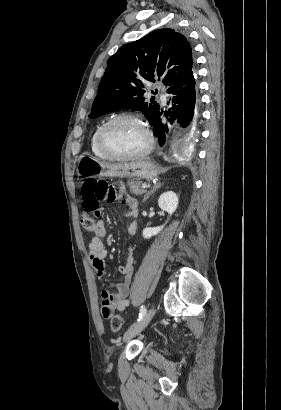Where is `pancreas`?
<instances>
[{
  "instance_id": "obj_1",
  "label": "pancreas",
  "mask_w": 281,
  "mask_h": 410,
  "mask_svg": "<svg viewBox=\"0 0 281 410\" xmlns=\"http://www.w3.org/2000/svg\"><path fill=\"white\" fill-rule=\"evenodd\" d=\"M130 193L135 195H142L146 192L145 189L141 188V182L139 180H131L127 183Z\"/></svg>"
}]
</instances>
